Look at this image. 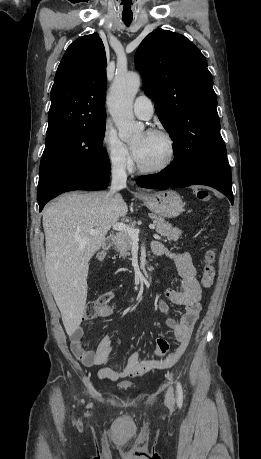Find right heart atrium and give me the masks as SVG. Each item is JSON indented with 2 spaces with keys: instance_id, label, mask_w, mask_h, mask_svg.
I'll return each instance as SVG.
<instances>
[{
  "instance_id": "1",
  "label": "right heart atrium",
  "mask_w": 261,
  "mask_h": 459,
  "mask_svg": "<svg viewBox=\"0 0 261 459\" xmlns=\"http://www.w3.org/2000/svg\"><path fill=\"white\" fill-rule=\"evenodd\" d=\"M101 145L113 171L124 173L131 169L132 159L129 149L109 125H106L102 132Z\"/></svg>"
}]
</instances>
